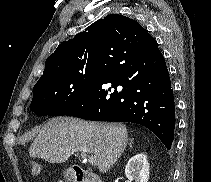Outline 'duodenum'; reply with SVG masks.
I'll use <instances>...</instances> for the list:
<instances>
[{"instance_id": "410a0bca", "label": "duodenum", "mask_w": 211, "mask_h": 182, "mask_svg": "<svg viewBox=\"0 0 211 182\" xmlns=\"http://www.w3.org/2000/svg\"><path fill=\"white\" fill-rule=\"evenodd\" d=\"M73 182H102V180L90 171L74 167L72 170Z\"/></svg>"}]
</instances>
